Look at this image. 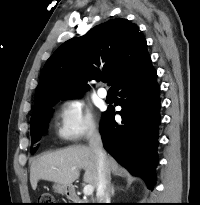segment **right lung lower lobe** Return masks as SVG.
Wrapping results in <instances>:
<instances>
[{
	"mask_svg": "<svg viewBox=\"0 0 200 205\" xmlns=\"http://www.w3.org/2000/svg\"><path fill=\"white\" fill-rule=\"evenodd\" d=\"M151 59L114 88L115 105L122 110V122L115 121L113 107L103 113L100 133L104 148L133 175L142 177L149 188L155 183L158 126L160 124V87Z\"/></svg>",
	"mask_w": 200,
	"mask_h": 205,
	"instance_id": "obj_1",
	"label": "right lung lower lobe"
}]
</instances>
